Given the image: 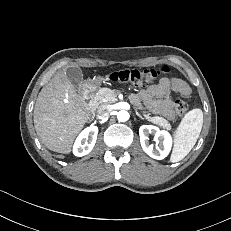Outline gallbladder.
I'll use <instances>...</instances> for the list:
<instances>
[{"mask_svg": "<svg viewBox=\"0 0 231 231\" xmlns=\"http://www.w3.org/2000/svg\"><path fill=\"white\" fill-rule=\"evenodd\" d=\"M66 75L74 88L78 89L83 81V73L81 69L70 67L66 70Z\"/></svg>", "mask_w": 231, "mask_h": 231, "instance_id": "gallbladder-1", "label": "gallbladder"}]
</instances>
